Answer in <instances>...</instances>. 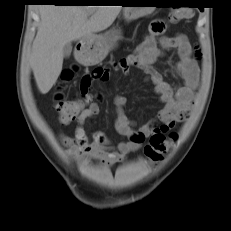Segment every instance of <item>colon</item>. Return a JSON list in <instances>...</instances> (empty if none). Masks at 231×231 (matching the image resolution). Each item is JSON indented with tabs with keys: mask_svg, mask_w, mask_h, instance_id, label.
Wrapping results in <instances>:
<instances>
[{
	"mask_svg": "<svg viewBox=\"0 0 231 231\" xmlns=\"http://www.w3.org/2000/svg\"><path fill=\"white\" fill-rule=\"evenodd\" d=\"M191 10L187 8L176 9L170 15V20L174 23L191 17ZM72 71L64 72V79L68 80L72 77ZM86 100H64L58 98L55 104L56 111L59 114V119L62 123L68 124L75 120L83 111ZM176 134H171L169 138L165 137L163 133H154L150 136L148 144L144 147V154L147 159L153 163H159L166 152L175 142Z\"/></svg>",
	"mask_w": 231,
	"mask_h": 231,
	"instance_id": "5ec220e1",
	"label": "colon"
}]
</instances>
